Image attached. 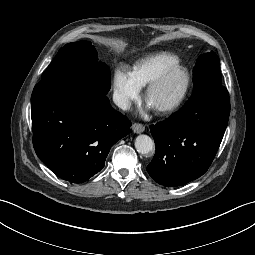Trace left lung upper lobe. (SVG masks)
Segmentation results:
<instances>
[{"label":"left lung upper lobe","instance_id":"left-lung-upper-lobe-1","mask_svg":"<svg viewBox=\"0 0 255 255\" xmlns=\"http://www.w3.org/2000/svg\"><path fill=\"white\" fill-rule=\"evenodd\" d=\"M193 77L195 88L209 79L221 82L219 59L214 52L199 56L193 69Z\"/></svg>","mask_w":255,"mask_h":255}]
</instances>
